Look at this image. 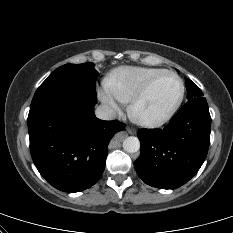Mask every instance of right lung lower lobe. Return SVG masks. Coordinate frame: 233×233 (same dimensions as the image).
<instances>
[{
	"mask_svg": "<svg viewBox=\"0 0 233 233\" xmlns=\"http://www.w3.org/2000/svg\"><path fill=\"white\" fill-rule=\"evenodd\" d=\"M96 97L57 96L30 107V151L42 177L56 189L74 193L101 177L108 144L125 124L103 121L92 111Z\"/></svg>",
	"mask_w": 233,
	"mask_h": 233,
	"instance_id": "1",
	"label": "right lung lower lobe"
}]
</instances>
